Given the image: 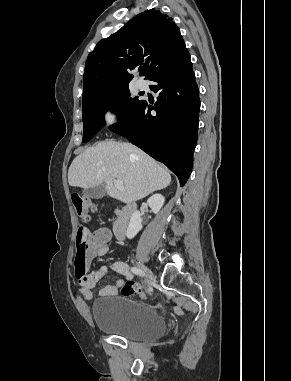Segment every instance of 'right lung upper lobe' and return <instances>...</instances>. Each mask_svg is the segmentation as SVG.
Wrapping results in <instances>:
<instances>
[{
    "label": "right lung upper lobe",
    "instance_id": "1",
    "mask_svg": "<svg viewBox=\"0 0 291 381\" xmlns=\"http://www.w3.org/2000/svg\"><path fill=\"white\" fill-rule=\"evenodd\" d=\"M167 17L155 9L146 10L97 44L85 64L82 105L128 86L131 70L142 63L140 74L149 79L186 48L179 28Z\"/></svg>",
    "mask_w": 291,
    "mask_h": 381
}]
</instances>
